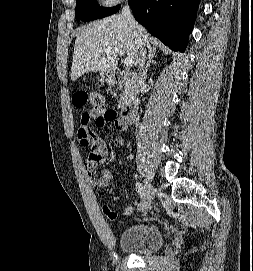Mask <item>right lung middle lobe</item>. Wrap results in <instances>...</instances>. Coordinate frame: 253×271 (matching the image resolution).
<instances>
[{"label": "right lung middle lobe", "instance_id": "dd1d6c3e", "mask_svg": "<svg viewBox=\"0 0 253 271\" xmlns=\"http://www.w3.org/2000/svg\"><path fill=\"white\" fill-rule=\"evenodd\" d=\"M119 8L120 5L112 8L100 7L96 0H76L75 17L77 21H91L112 15Z\"/></svg>", "mask_w": 253, "mask_h": 271}]
</instances>
